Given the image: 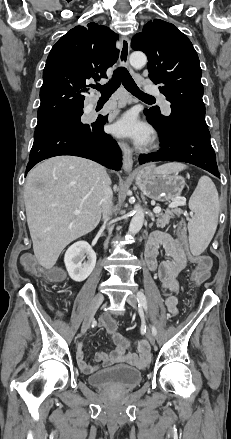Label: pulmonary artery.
Listing matches in <instances>:
<instances>
[{"mask_svg": "<svg viewBox=\"0 0 231 439\" xmlns=\"http://www.w3.org/2000/svg\"><path fill=\"white\" fill-rule=\"evenodd\" d=\"M146 91H147L148 93H150V94L158 95V96L160 97V101H161V105H162V108H163L164 113L167 114V115L171 113L170 104H169L168 101L164 98V96H162V95L159 93L158 89H157L155 86H153V85H151V84L146 85Z\"/></svg>", "mask_w": 231, "mask_h": 439, "instance_id": "obj_1", "label": "pulmonary artery"}]
</instances>
